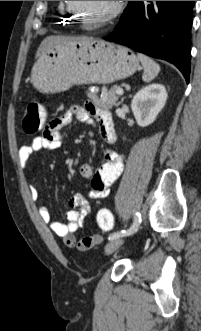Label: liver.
Listing matches in <instances>:
<instances>
[{"label": "liver", "instance_id": "6515ba94", "mask_svg": "<svg viewBox=\"0 0 201 331\" xmlns=\"http://www.w3.org/2000/svg\"><path fill=\"white\" fill-rule=\"evenodd\" d=\"M81 39H86L84 37H66V36H48L46 37L40 44L36 57L39 58L45 51L50 49L51 47L67 42V41H73V40H81Z\"/></svg>", "mask_w": 201, "mask_h": 331}]
</instances>
